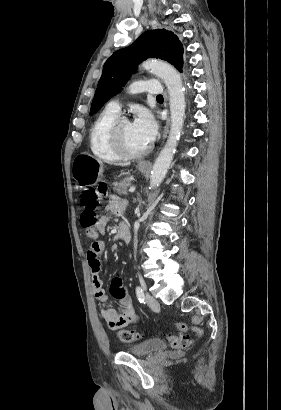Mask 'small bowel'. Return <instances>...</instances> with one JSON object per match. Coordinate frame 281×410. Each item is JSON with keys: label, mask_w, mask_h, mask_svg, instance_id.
<instances>
[{"label": "small bowel", "mask_w": 281, "mask_h": 410, "mask_svg": "<svg viewBox=\"0 0 281 410\" xmlns=\"http://www.w3.org/2000/svg\"><path fill=\"white\" fill-rule=\"evenodd\" d=\"M125 209L126 202L123 199L115 195L111 196L105 207L104 215H102L98 220L97 230L100 233H104L110 218L116 214H122ZM104 250L105 243L103 241L93 242L87 252V261L92 276L93 293L102 303L100 310L101 317L111 329H117L137 321L138 315L128 294L127 287L118 276H115L111 280L109 293L114 299L120 302L122 308L118 311L107 305L108 295L103 289V281L100 277L101 262L99 259L104 253Z\"/></svg>", "instance_id": "obj_1"}]
</instances>
